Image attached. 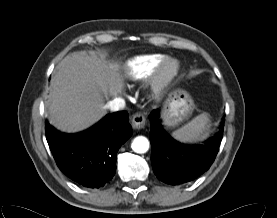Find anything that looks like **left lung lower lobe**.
Instances as JSON below:
<instances>
[{
    "label": "left lung lower lobe",
    "mask_w": 277,
    "mask_h": 218,
    "mask_svg": "<svg viewBox=\"0 0 277 218\" xmlns=\"http://www.w3.org/2000/svg\"><path fill=\"white\" fill-rule=\"evenodd\" d=\"M152 146L151 162L155 175L164 183L183 184L194 180L212 165L223 137L221 131L204 144L186 145L172 139L162 128L157 111L149 115Z\"/></svg>",
    "instance_id": "1"
}]
</instances>
